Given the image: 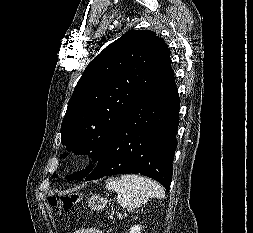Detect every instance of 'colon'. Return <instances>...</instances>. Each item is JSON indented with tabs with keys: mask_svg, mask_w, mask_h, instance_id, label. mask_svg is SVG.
I'll use <instances>...</instances> for the list:
<instances>
[{
	"mask_svg": "<svg viewBox=\"0 0 253 233\" xmlns=\"http://www.w3.org/2000/svg\"><path fill=\"white\" fill-rule=\"evenodd\" d=\"M80 200L81 195L78 193L52 195L48 198V202L52 207L64 211L71 210Z\"/></svg>",
	"mask_w": 253,
	"mask_h": 233,
	"instance_id": "colon-1",
	"label": "colon"
}]
</instances>
